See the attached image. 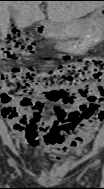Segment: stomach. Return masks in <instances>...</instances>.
Masks as SVG:
<instances>
[{
	"mask_svg": "<svg viewBox=\"0 0 104 189\" xmlns=\"http://www.w3.org/2000/svg\"><path fill=\"white\" fill-rule=\"evenodd\" d=\"M103 29L102 8L97 9L90 18L74 21L70 26L51 25L43 30L46 38L55 39L58 45L70 53H78L89 37Z\"/></svg>",
	"mask_w": 104,
	"mask_h": 189,
	"instance_id": "stomach-1",
	"label": "stomach"
}]
</instances>
